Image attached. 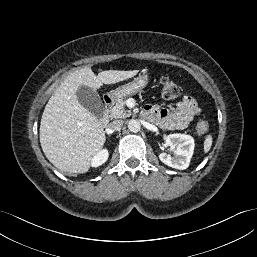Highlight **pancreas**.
Instances as JSON below:
<instances>
[{"mask_svg":"<svg viewBox=\"0 0 257 257\" xmlns=\"http://www.w3.org/2000/svg\"><path fill=\"white\" fill-rule=\"evenodd\" d=\"M126 100L119 99L116 105L110 110V117L119 119L131 116V110H125Z\"/></svg>","mask_w":257,"mask_h":257,"instance_id":"cf45deb5","label":"pancreas"}]
</instances>
